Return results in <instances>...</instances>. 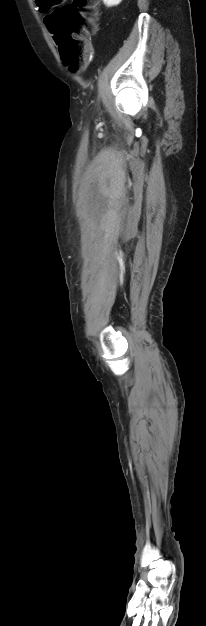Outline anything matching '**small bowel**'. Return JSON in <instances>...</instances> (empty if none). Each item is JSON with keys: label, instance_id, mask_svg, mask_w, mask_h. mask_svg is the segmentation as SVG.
<instances>
[{"label": "small bowel", "instance_id": "obj_1", "mask_svg": "<svg viewBox=\"0 0 206 626\" xmlns=\"http://www.w3.org/2000/svg\"><path fill=\"white\" fill-rule=\"evenodd\" d=\"M40 1H41V0H38V4H39V6L41 7V5H40ZM47 18H48V17H47ZM47 18L45 19V24H46V26H47V28H48V19H47Z\"/></svg>", "mask_w": 206, "mask_h": 626}]
</instances>
